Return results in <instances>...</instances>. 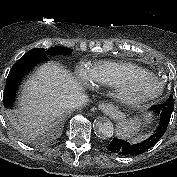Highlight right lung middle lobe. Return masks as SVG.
I'll list each match as a JSON object with an SVG mask.
<instances>
[{"mask_svg": "<svg viewBox=\"0 0 177 177\" xmlns=\"http://www.w3.org/2000/svg\"><path fill=\"white\" fill-rule=\"evenodd\" d=\"M47 52H49V53L57 52V53H61V54H70L72 52V50L69 48H66V47L56 46L54 48L48 49V51H45L43 48H34L31 51H29L28 54L39 55V54H46Z\"/></svg>", "mask_w": 177, "mask_h": 177, "instance_id": "dd1d6c3e", "label": "right lung middle lobe"}]
</instances>
